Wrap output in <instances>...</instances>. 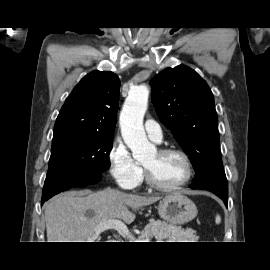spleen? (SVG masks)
Wrapping results in <instances>:
<instances>
[{
    "label": "spleen",
    "instance_id": "obj_1",
    "mask_svg": "<svg viewBox=\"0 0 270 270\" xmlns=\"http://www.w3.org/2000/svg\"><path fill=\"white\" fill-rule=\"evenodd\" d=\"M215 221L217 224H219L221 222V217L219 215H217Z\"/></svg>",
    "mask_w": 270,
    "mask_h": 270
}]
</instances>
